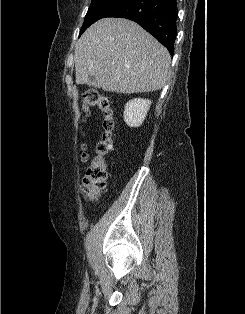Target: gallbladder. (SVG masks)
I'll list each match as a JSON object with an SVG mask.
<instances>
[{"instance_id":"1","label":"gallbladder","mask_w":245,"mask_h":314,"mask_svg":"<svg viewBox=\"0 0 245 314\" xmlns=\"http://www.w3.org/2000/svg\"><path fill=\"white\" fill-rule=\"evenodd\" d=\"M89 79H90V81H94L95 80L94 77H92V76H90Z\"/></svg>"}]
</instances>
